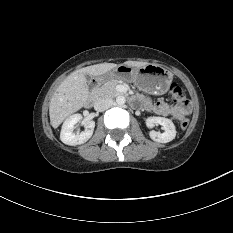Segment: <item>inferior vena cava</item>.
Masks as SVG:
<instances>
[{"instance_id":"1","label":"inferior vena cava","mask_w":233,"mask_h":233,"mask_svg":"<svg viewBox=\"0 0 233 233\" xmlns=\"http://www.w3.org/2000/svg\"><path fill=\"white\" fill-rule=\"evenodd\" d=\"M113 104V101L111 99H98L95 103H94V109L96 111L102 112L108 108H110Z\"/></svg>"}]
</instances>
